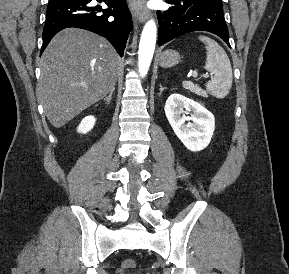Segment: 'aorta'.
I'll return each instance as SVG.
<instances>
[{"label":"aorta","mask_w":289,"mask_h":274,"mask_svg":"<svg viewBox=\"0 0 289 274\" xmlns=\"http://www.w3.org/2000/svg\"><path fill=\"white\" fill-rule=\"evenodd\" d=\"M157 28L154 20H150L143 28L139 51H138V68L142 77H145L155 50Z\"/></svg>","instance_id":"aorta-1"}]
</instances>
